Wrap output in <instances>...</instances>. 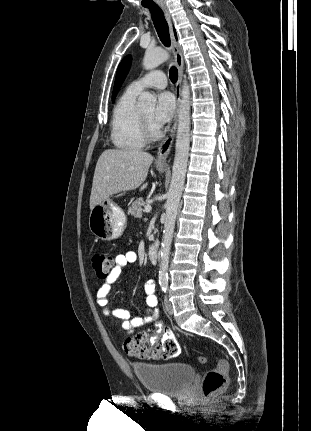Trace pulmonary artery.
<instances>
[{"mask_svg": "<svg viewBox=\"0 0 311 431\" xmlns=\"http://www.w3.org/2000/svg\"><path fill=\"white\" fill-rule=\"evenodd\" d=\"M166 86V74L162 70H154L133 81L128 88L133 92L139 93L146 88L163 89Z\"/></svg>", "mask_w": 311, "mask_h": 431, "instance_id": "1", "label": "pulmonary artery"}]
</instances>
